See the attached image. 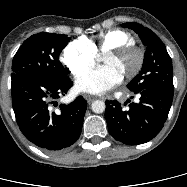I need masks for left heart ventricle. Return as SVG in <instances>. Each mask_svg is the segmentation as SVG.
I'll use <instances>...</instances> for the list:
<instances>
[{"mask_svg": "<svg viewBox=\"0 0 187 187\" xmlns=\"http://www.w3.org/2000/svg\"><path fill=\"white\" fill-rule=\"evenodd\" d=\"M102 61L105 66L114 68L123 77L134 68L137 55L134 52L127 53L121 57L105 55Z\"/></svg>", "mask_w": 187, "mask_h": 187, "instance_id": "obj_1", "label": "left heart ventricle"}]
</instances>
